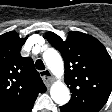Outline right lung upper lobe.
<instances>
[{
  "mask_svg": "<svg viewBox=\"0 0 112 112\" xmlns=\"http://www.w3.org/2000/svg\"><path fill=\"white\" fill-rule=\"evenodd\" d=\"M27 37L14 31L0 36V112H31L46 91L33 60L20 54Z\"/></svg>",
  "mask_w": 112,
  "mask_h": 112,
  "instance_id": "1",
  "label": "right lung upper lobe"
}]
</instances>
